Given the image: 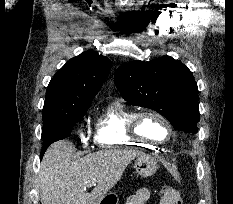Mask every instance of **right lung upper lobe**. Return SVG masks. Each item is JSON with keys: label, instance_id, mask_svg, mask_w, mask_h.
<instances>
[{"label": "right lung upper lobe", "instance_id": "obj_1", "mask_svg": "<svg viewBox=\"0 0 233 204\" xmlns=\"http://www.w3.org/2000/svg\"><path fill=\"white\" fill-rule=\"evenodd\" d=\"M111 61L91 51L70 59L51 79L43 120L87 110L107 78Z\"/></svg>", "mask_w": 233, "mask_h": 204}]
</instances>
